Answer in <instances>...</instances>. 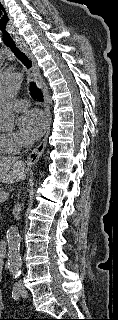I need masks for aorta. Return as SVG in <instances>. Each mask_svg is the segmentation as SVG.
I'll list each match as a JSON object with an SVG mask.
<instances>
[{"instance_id": "1", "label": "aorta", "mask_w": 118, "mask_h": 320, "mask_svg": "<svg viewBox=\"0 0 118 320\" xmlns=\"http://www.w3.org/2000/svg\"><path fill=\"white\" fill-rule=\"evenodd\" d=\"M23 76L19 72L5 73L0 76V130H12L16 125V115L11 101L17 94ZM8 245V268L14 278L21 274L20 253L21 237L17 226H11L6 233Z\"/></svg>"}]
</instances>
